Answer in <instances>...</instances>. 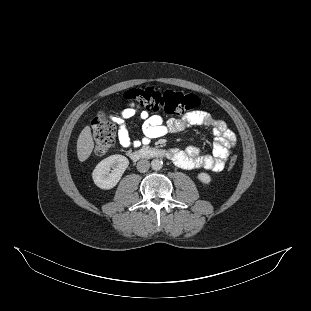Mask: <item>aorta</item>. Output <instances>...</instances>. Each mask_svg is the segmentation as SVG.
Returning a JSON list of instances; mask_svg holds the SVG:
<instances>
[{
  "instance_id": "obj_1",
  "label": "aorta",
  "mask_w": 311,
  "mask_h": 311,
  "mask_svg": "<svg viewBox=\"0 0 311 311\" xmlns=\"http://www.w3.org/2000/svg\"><path fill=\"white\" fill-rule=\"evenodd\" d=\"M151 167H152L153 170H156V171L160 170L163 167L162 160H160V159H153L151 161Z\"/></svg>"
}]
</instances>
